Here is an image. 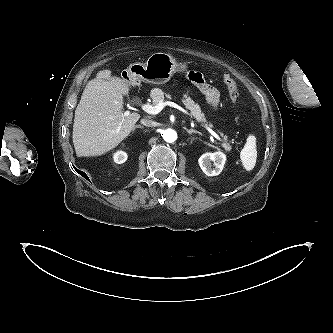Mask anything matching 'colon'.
<instances>
[{"label":"colon","instance_id":"1","mask_svg":"<svg viewBox=\"0 0 333 333\" xmlns=\"http://www.w3.org/2000/svg\"><path fill=\"white\" fill-rule=\"evenodd\" d=\"M223 82H224L225 86L228 89V93H229L230 99L233 102L236 103L239 100V96H240L239 92H238V88H237L236 82L229 75H225L223 77Z\"/></svg>","mask_w":333,"mask_h":333}]
</instances>
